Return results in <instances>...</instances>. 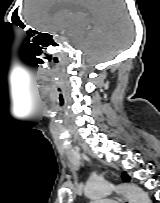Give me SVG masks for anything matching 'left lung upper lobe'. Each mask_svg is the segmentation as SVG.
Here are the masks:
<instances>
[{"label":"left lung upper lobe","instance_id":"obj_1","mask_svg":"<svg viewBox=\"0 0 160 203\" xmlns=\"http://www.w3.org/2000/svg\"><path fill=\"white\" fill-rule=\"evenodd\" d=\"M122 178L125 181H129L130 180V177L125 172L122 174Z\"/></svg>","mask_w":160,"mask_h":203}]
</instances>
